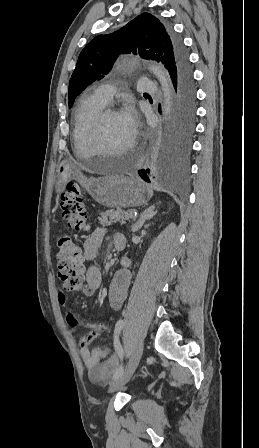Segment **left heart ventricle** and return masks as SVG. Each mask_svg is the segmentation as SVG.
<instances>
[{
    "label": "left heart ventricle",
    "mask_w": 259,
    "mask_h": 448,
    "mask_svg": "<svg viewBox=\"0 0 259 448\" xmlns=\"http://www.w3.org/2000/svg\"><path fill=\"white\" fill-rule=\"evenodd\" d=\"M104 138L112 151L106 153L102 150L95 149L94 147L89 150H81L80 155L84 163L91 157H104L108 154H118L125 151L131 147L134 141L119 114L107 118L104 126Z\"/></svg>",
    "instance_id": "obj_1"
}]
</instances>
